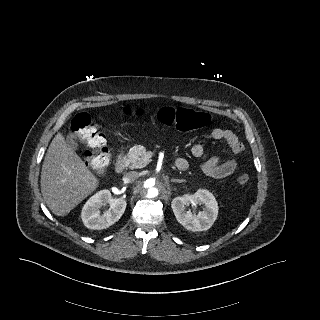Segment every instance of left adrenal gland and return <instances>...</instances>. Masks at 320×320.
Listing matches in <instances>:
<instances>
[{"instance_id":"left-adrenal-gland-1","label":"left adrenal gland","mask_w":320,"mask_h":320,"mask_svg":"<svg viewBox=\"0 0 320 320\" xmlns=\"http://www.w3.org/2000/svg\"><path fill=\"white\" fill-rule=\"evenodd\" d=\"M171 182H178V183H182L185 182V180H180V179H172Z\"/></svg>"}]
</instances>
